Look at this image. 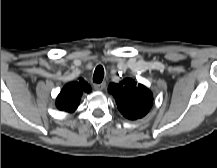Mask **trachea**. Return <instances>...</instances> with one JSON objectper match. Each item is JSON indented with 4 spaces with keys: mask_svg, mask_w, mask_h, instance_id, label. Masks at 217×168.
Returning <instances> with one entry per match:
<instances>
[{
    "mask_svg": "<svg viewBox=\"0 0 217 168\" xmlns=\"http://www.w3.org/2000/svg\"><path fill=\"white\" fill-rule=\"evenodd\" d=\"M104 78V69L101 65H98L94 71L93 82L101 83Z\"/></svg>",
    "mask_w": 217,
    "mask_h": 168,
    "instance_id": "obj_1",
    "label": "trachea"
}]
</instances>
